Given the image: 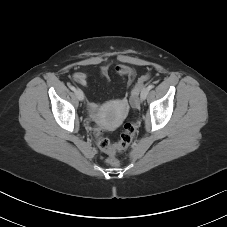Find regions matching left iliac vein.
I'll return each instance as SVG.
<instances>
[{"label": "left iliac vein", "instance_id": "left-iliac-vein-1", "mask_svg": "<svg viewBox=\"0 0 227 227\" xmlns=\"http://www.w3.org/2000/svg\"><path fill=\"white\" fill-rule=\"evenodd\" d=\"M149 93V89L148 87H145L142 89L141 93H140V99L143 101L146 99L147 95Z\"/></svg>", "mask_w": 227, "mask_h": 227}]
</instances>
